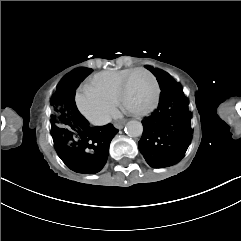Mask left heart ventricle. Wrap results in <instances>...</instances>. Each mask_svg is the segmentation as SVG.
Returning a JSON list of instances; mask_svg holds the SVG:
<instances>
[{"instance_id":"left-heart-ventricle-1","label":"left heart ventricle","mask_w":241,"mask_h":241,"mask_svg":"<svg viewBox=\"0 0 241 241\" xmlns=\"http://www.w3.org/2000/svg\"><path fill=\"white\" fill-rule=\"evenodd\" d=\"M125 103L130 111L143 109L154 97L152 83L148 82L145 74L134 75L132 80L125 82Z\"/></svg>"}]
</instances>
